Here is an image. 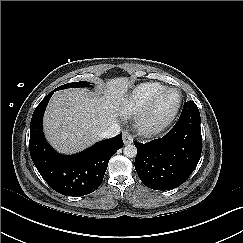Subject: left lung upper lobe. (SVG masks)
I'll return each instance as SVG.
<instances>
[{
    "mask_svg": "<svg viewBox=\"0 0 243 243\" xmlns=\"http://www.w3.org/2000/svg\"><path fill=\"white\" fill-rule=\"evenodd\" d=\"M186 105L195 106L196 107V104L193 101H189V102L184 103V106H186Z\"/></svg>",
    "mask_w": 243,
    "mask_h": 243,
    "instance_id": "obj_1",
    "label": "left lung upper lobe"
}]
</instances>
